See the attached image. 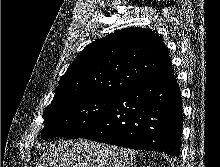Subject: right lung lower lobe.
I'll list each match as a JSON object with an SVG mask.
<instances>
[{
    "label": "right lung lower lobe",
    "mask_w": 220,
    "mask_h": 167,
    "mask_svg": "<svg viewBox=\"0 0 220 167\" xmlns=\"http://www.w3.org/2000/svg\"><path fill=\"white\" fill-rule=\"evenodd\" d=\"M182 126L181 92L171 73L115 95L81 138L179 157Z\"/></svg>",
    "instance_id": "98d812e1"
}]
</instances>
